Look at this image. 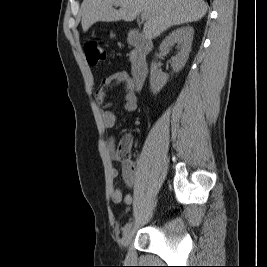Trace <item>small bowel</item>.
I'll return each mask as SVG.
<instances>
[{"instance_id":"small-bowel-1","label":"small bowel","mask_w":267,"mask_h":267,"mask_svg":"<svg viewBox=\"0 0 267 267\" xmlns=\"http://www.w3.org/2000/svg\"><path fill=\"white\" fill-rule=\"evenodd\" d=\"M114 84H122L125 96H124V109L127 112H135L138 108V100L136 95V86L134 80L131 76L125 71L115 72L106 78H104L101 86L95 93V99L98 103L104 105L103 111V125L105 129H112L117 123V115L114 111L110 109L111 103H106V95L108 89ZM107 153L111 160L120 161L117 156L115 148V140L113 137H110L107 141ZM122 162V177L124 183L132 188L136 183V165L133 161H121ZM110 175L113 179L117 178L119 172L116 168L110 169ZM111 198L114 203L124 202L126 205L132 203L131 195H124L121 189L115 188L111 192Z\"/></svg>"}]
</instances>
